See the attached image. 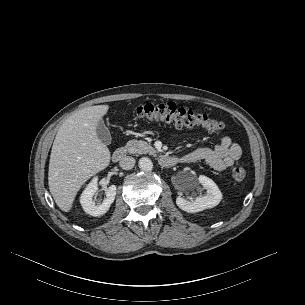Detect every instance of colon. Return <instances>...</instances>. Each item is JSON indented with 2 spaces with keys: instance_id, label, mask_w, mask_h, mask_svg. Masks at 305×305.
<instances>
[{
  "instance_id": "colon-1",
  "label": "colon",
  "mask_w": 305,
  "mask_h": 305,
  "mask_svg": "<svg viewBox=\"0 0 305 305\" xmlns=\"http://www.w3.org/2000/svg\"><path fill=\"white\" fill-rule=\"evenodd\" d=\"M134 115L144 121L171 124L176 127H203L210 132L223 130L224 124L206 114L198 113L190 109L179 107L175 103L146 104L137 107ZM246 177L243 166H237L233 170V179L241 182Z\"/></svg>"
}]
</instances>
